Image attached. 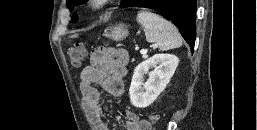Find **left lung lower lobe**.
I'll return each mask as SVG.
<instances>
[{"instance_id":"0a47b994","label":"left lung lower lobe","mask_w":257,"mask_h":130,"mask_svg":"<svg viewBox=\"0 0 257 130\" xmlns=\"http://www.w3.org/2000/svg\"><path fill=\"white\" fill-rule=\"evenodd\" d=\"M135 6L153 9L170 20L190 47L194 48L197 0H138Z\"/></svg>"}]
</instances>
